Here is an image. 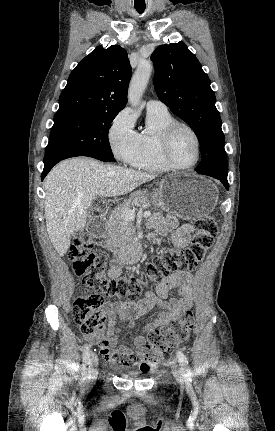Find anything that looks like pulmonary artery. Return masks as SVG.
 <instances>
[{"label":"pulmonary artery","mask_w":275,"mask_h":431,"mask_svg":"<svg viewBox=\"0 0 275 431\" xmlns=\"http://www.w3.org/2000/svg\"><path fill=\"white\" fill-rule=\"evenodd\" d=\"M146 108H147V112L148 111H160V112L167 111V106L163 102L155 99L149 100L147 102Z\"/></svg>","instance_id":"e3ab8cb5"}]
</instances>
